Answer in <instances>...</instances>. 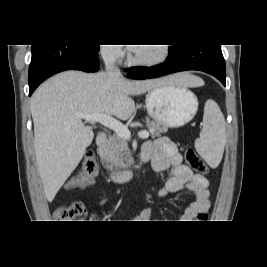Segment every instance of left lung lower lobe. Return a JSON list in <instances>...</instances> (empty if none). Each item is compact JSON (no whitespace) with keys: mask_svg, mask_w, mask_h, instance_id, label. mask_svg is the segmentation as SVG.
<instances>
[{"mask_svg":"<svg viewBox=\"0 0 267 267\" xmlns=\"http://www.w3.org/2000/svg\"><path fill=\"white\" fill-rule=\"evenodd\" d=\"M169 59L153 67H131L129 77L149 79L185 71L200 70L209 73L226 85L225 61L221 45H185L176 44L169 49Z\"/></svg>","mask_w":267,"mask_h":267,"instance_id":"1","label":"left lung lower lobe"}]
</instances>
